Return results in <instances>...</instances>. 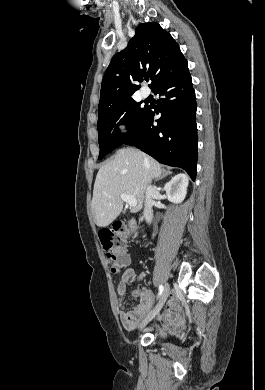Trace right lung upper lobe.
Instances as JSON below:
<instances>
[{"mask_svg": "<svg viewBox=\"0 0 265 390\" xmlns=\"http://www.w3.org/2000/svg\"><path fill=\"white\" fill-rule=\"evenodd\" d=\"M185 61L178 44L159 24H139L135 36L113 56L104 74L98 113L132 99L139 88L134 81L150 77L153 89Z\"/></svg>", "mask_w": 265, "mask_h": 390, "instance_id": "cb5924a9", "label": "right lung upper lobe"}]
</instances>
